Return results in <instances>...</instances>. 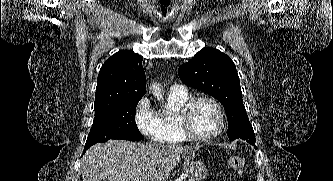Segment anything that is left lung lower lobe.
I'll return each mask as SVG.
<instances>
[{
  "instance_id": "obj_1",
  "label": "left lung lower lobe",
  "mask_w": 333,
  "mask_h": 181,
  "mask_svg": "<svg viewBox=\"0 0 333 181\" xmlns=\"http://www.w3.org/2000/svg\"><path fill=\"white\" fill-rule=\"evenodd\" d=\"M240 139H243V140H247V142H249L250 144H252L253 146H255V140L253 139H249L247 138L246 136H241L239 137Z\"/></svg>"
}]
</instances>
